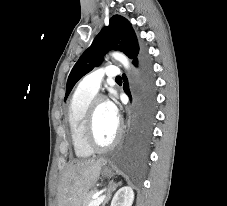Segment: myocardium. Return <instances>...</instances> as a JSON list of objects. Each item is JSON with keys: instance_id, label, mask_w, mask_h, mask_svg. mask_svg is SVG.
Returning a JSON list of instances; mask_svg holds the SVG:
<instances>
[{"instance_id": "obj_1", "label": "myocardium", "mask_w": 227, "mask_h": 206, "mask_svg": "<svg viewBox=\"0 0 227 206\" xmlns=\"http://www.w3.org/2000/svg\"><path fill=\"white\" fill-rule=\"evenodd\" d=\"M104 97L96 96L90 102L84 120V140L86 145L92 150L97 152L106 151L112 147H114L120 140L121 136V128L120 125L117 124V129L112 141L106 145L100 144L95 136V117L96 110L100 103L104 102Z\"/></svg>"}]
</instances>
